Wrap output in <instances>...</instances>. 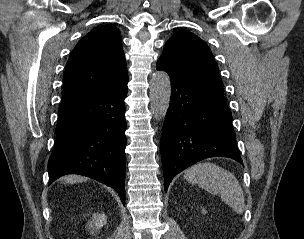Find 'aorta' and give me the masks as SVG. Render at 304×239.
Returning <instances> with one entry per match:
<instances>
[{
  "label": "aorta",
  "instance_id": "762f6f07",
  "mask_svg": "<svg viewBox=\"0 0 304 239\" xmlns=\"http://www.w3.org/2000/svg\"><path fill=\"white\" fill-rule=\"evenodd\" d=\"M171 98L170 78L164 71H156L150 80V108L156 120H162Z\"/></svg>",
  "mask_w": 304,
  "mask_h": 239
}]
</instances>
